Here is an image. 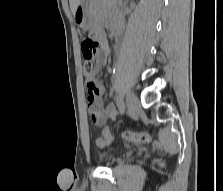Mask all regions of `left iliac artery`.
<instances>
[{"label":"left iliac artery","instance_id":"44dca946","mask_svg":"<svg viewBox=\"0 0 223 191\" xmlns=\"http://www.w3.org/2000/svg\"><path fill=\"white\" fill-rule=\"evenodd\" d=\"M117 104H118V107H119V110H120L121 114H123L124 110H125V105H124V102H123V96L122 95H120L117 98Z\"/></svg>","mask_w":223,"mask_h":191}]
</instances>
